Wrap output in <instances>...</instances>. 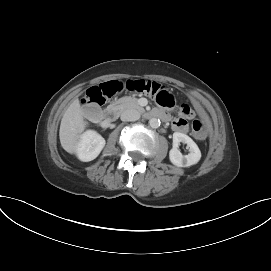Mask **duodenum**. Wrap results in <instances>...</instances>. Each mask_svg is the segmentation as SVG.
<instances>
[{
  "instance_id": "obj_1",
  "label": "duodenum",
  "mask_w": 271,
  "mask_h": 271,
  "mask_svg": "<svg viewBox=\"0 0 271 271\" xmlns=\"http://www.w3.org/2000/svg\"><path fill=\"white\" fill-rule=\"evenodd\" d=\"M117 114H118L117 108L115 106H109L100 114V119H101V121H103V122H105L107 124H111L116 119ZM89 116L92 119L97 118V116L94 113H90ZM147 116L150 117V118L158 117V118H161L163 120L168 119V116L164 112L158 111V110L149 112L147 114Z\"/></svg>"
}]
</instances>
